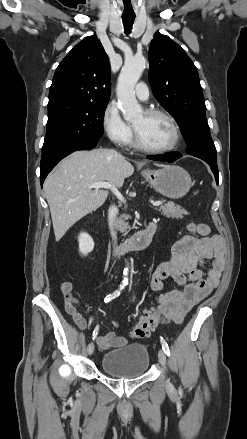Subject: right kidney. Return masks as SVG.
<instances>
[{"mask_svg": "<svg viewBox=\"0 0 247 439\" xmlns=\"http://www.w3.org/2000/svg\"><path fill=\"white\" fill-rule=\"evenodd\" d=\"M78 242H79V251L82 255L86 256L88 255V253L93 251L94 241L89 234L85 232L80 233L78 237Z\"/></svg>", "mask_w": 247, "mask_h": 439, "instance_id": "obj_1", "label": "right kidney"}]
</instances>
